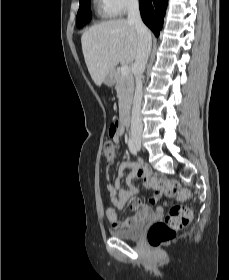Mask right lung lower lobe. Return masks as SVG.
<instances>
[{
    "label": "right lung lower lobe",
    "mask_w": 229,
    "mask_h": 280,
    "mask_svg": "<svg viewBox=\"0 0 229 280\" xmlns=\"http://www.w3.org/2000/svg\"><path fill=\"white\" fill-rule=\"evenodd\" d=\"M168 0H140V12L144 23L159 36Z\"/></svg>",
    "instance_id": "98d812e1"
}]
</instances>
